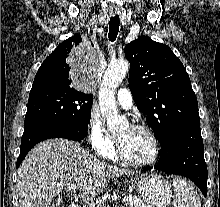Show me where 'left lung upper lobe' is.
Returning <instances> with one entry per match:
<instances>
[{"mask_svg":"<svg viewBox=\"0 0 220 207\" xmlns=\"http://www.w3.org/2000/svg\"><path fill=\"white\" fill-rule=\"evenodd\" d=\"M124 51L131 65L132 96L160 144L180 127L200 123L190 78L167 45L140 36L127 44Z\"/></svg>","mask_w":220,"mask_h":207,"instance_id":"obj_1","label":"left lung upper lobe"}]
</instances>
